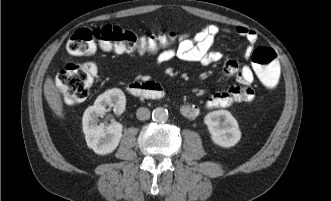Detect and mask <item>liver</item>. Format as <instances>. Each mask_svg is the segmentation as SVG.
I'll return each mask as SVG.
<instances>
[{
  "label": "liver",
  "instance_id": "1",
  "mask_svg": "<svg viewBox=\"0 0 331 201\" xmlns=\"http://www.w3.org/2000/svg\"><path fill=\"white\" fill-rule=\"evenodd\" d=\"M44 95L53 112L59 118H64L62 98L50 76L46 78L44 83Z\"/></svg>",
  "mask_w": 331,
  "mask_h": 201
}]
</instances>
